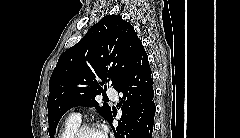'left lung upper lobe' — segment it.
<instances>
[{
    "label": "left lung upper lobe",
    "instance_id": "left-lung-upper-lobe-1",
    "mask_svg": "<svg viewBox=\"0 0 240 138\" xmlns=\"http://www.w3.org/2000/svg\"><path fill=\"white\" fill-rule=\"evenodd\" d=\"M144 48L130 23L119 15H107L59 58L49 81V135L54 137L63 114L74 106L95 107L106 120L108 105L98 106L95 96L102 84L114 89L122 83L138 52Z\"/></svg>",
    "mask_w": 240,
    "mask_h": 138
}]
</instances>
